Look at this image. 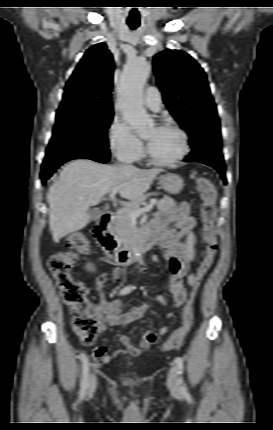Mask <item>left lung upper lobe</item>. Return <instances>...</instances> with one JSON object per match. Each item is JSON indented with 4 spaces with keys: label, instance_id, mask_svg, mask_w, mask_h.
Instances as JSON below:
<instances>
[{
    "label": "left lung upper lobe",
    "instance_id": "1",
    "mask_svg": "<svg viewBox=\"0 0 273 430\" xmlns=\"http://www.w3.org/2000/svg\"><path fill=\"white\" fill-rule=\"evenodd\" d=\"M153 68L163 100L192 147L205 137L221 140L220 124L205 72L187 53L165 50L154 56Z\"/></svg>",
    "mask_w": 273,
    "mask_h": 430
}]
</instances>
